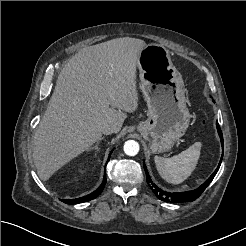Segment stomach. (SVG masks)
I'll return each instance as SVG.
<instances>
[{
  "label": "stomach",
  "instance_id": "0dacf381",
  "mask_svg": "<svg viewBox=\"0 0 246 246\" xmlns=\"http://www.w3.org/2000/svg\"><path fill=\"white\" fill-rule=\"evenodd\" d=\"M140 89L148 106V119L137 130L152 153L170 150L186 132L190 113L185 86L164 46L148 44L138 58Z\"/></svg>",
  "mask_w": 246,
  "mask_h": 246
}]
</instances>
